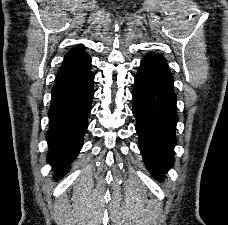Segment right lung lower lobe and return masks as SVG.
Listing matches in <instances>:
<instances>
[{
	"label": "right lung lower lobe",
	"mask_w": 228,
	"mask_h": 225,
	"mask_svg": "<svg viewBox=\"0 0 228 225\" xmlns=\"http://www.w3.org/2000/svg\"><path fill=\"white\" fill-rule=\"evenodd\" d=\"M88 54L65 60L52 89L48 112V162L60 177L69 169L83 144L91 110L94 76Z\"/></svg>",
	"instance_id": "obj_1"
}]
</instances>
